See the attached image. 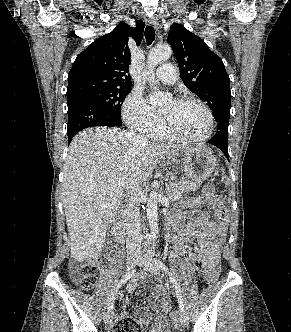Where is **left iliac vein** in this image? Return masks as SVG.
<instances>
[{
	"mask_svg": "<svg viewBox=\"0 0 291 332\" xmlns=\"http://www.w3.org/2000/svg\"><path fill=\"white\" fill-rule=\"evenodd\" d=\"M137 264L153 274L159 273V267L157 266L155 260L152 258H139ZM179 322L183 327L188 325V316L182 310L179 311Z\"/></svg>",
	"mask_w": 291,
	"mask_h": 332,
	"instance_id": "1",
	"label": "left iliac vein"
}]
</instances>
